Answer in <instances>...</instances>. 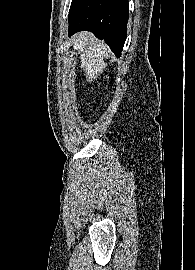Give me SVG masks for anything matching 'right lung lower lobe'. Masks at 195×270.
<instances>
[{"instance_id":"obj_1","label":"right lung lower lobe","mask_w":195,"mask_h":270,"mask_svg":"<svg viewBox=\"0 0 195 270\" xmlns=\"http://www.w3.org/2000/svg\"><path fill=\"white\" fill-rule=\"evenodd\" d=\"M128 15V0H74L68 35L91 31L119 57L127 37Z\"/></svg>"}]
</instances>
